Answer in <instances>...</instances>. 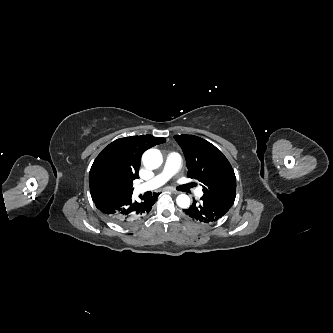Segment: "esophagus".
<instances>
[{"label": "esophagus", "instance_id": "34e87169", "mask_svg": "<svg viewBox=\"0 0 333 333\" xmlns=\"http://www.w3.org/2000/svg\"><path fill=\"white\" fill-rule=\"evenodd\" d=\"M168 191L171 192V193H173V194H175V195H177V194L180 193L179 191H177L175 189H168Z\"/></svg>", "mask_w": 333, "mask_h": 333}]
</instances>
